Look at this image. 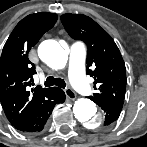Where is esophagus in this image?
I'll use <instances>...</instances> for the list:
<instances>
[{"instance_id":"obj_1","label":"esophagus","mask_w":147,"mask_h":147,"mask_svg":"<svg viewBox=\"0 0 147 147\" xmlns=\"http://www.w3.org/2000/svg\"><path fill=\"white\" fill-rule=\"evenodd\" d=\"M64 92H65L67 98H69L71 100H74L77 97L75 92L71 88H69V87L64 89Z\"/></svg>"}]
</instances>
